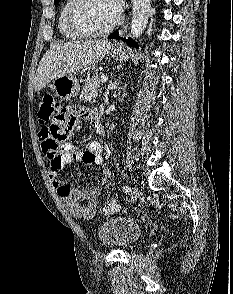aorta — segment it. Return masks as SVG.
Returning <instances> with one entry per match:
<instances>
[{
  "mask_svg": "<svg viewBox=\"0 0 233 294\" xmlns=\"http://www.w3.org/2000/svg\"><path fill=\"white\" fill-rule=\"evenodd\" d=\"M132 21L130 26L131 36L133 39L139 38L144 32L151 9V0H132Z\"/></svg>",
  "mask_w": 233,
  "mask_h": 294,
  "instance_id": "aorta-1",
  "label": "aorta"
}]
</instances>
